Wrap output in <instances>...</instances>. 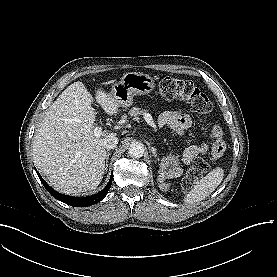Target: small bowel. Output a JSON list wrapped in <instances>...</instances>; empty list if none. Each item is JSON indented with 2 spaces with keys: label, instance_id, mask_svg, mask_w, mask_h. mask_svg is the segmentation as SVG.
I'll return each instance as SVG.
<instances>
[{
  "label": "small bowel",
  "instance_id": "small-bowel-1",
  "mask_svg": "<svg viewBox=\"0 0 277 277\" xmlns=\"http://www.w3.org/2000/svg\"><path fill=\"white\" fill-rule=\"evenodd\" d=\"M158 125L171 128L177 135H183L191 127L192 118L180 109L166 111L158 117ZM222 131L219 126L210 131V141L200 146H191L181 152V162L189 165L196 157L210 153L221 154L223 143L221 141Z\"/></svg>",
  "mask_w": 277,
  "mask_h": 277
}]
</instances>
